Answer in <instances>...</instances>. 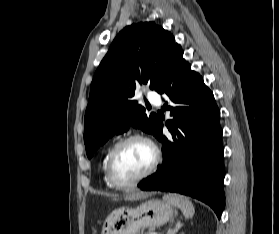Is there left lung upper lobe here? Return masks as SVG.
Listing matches in <instances>:
<instances>
[{"instance_id": "1", "label": "left lung upper lobe", "mask_w": 279, "mask_h": 234, "mask_svg": "<svg viewBox=\"0 0 279 234\" xmlns=\"http://www.w3.org/2000/svg\"><path fill=\"white\" fill-rule=\"evenodd\" d=\"M181 46L154 22L125 27L114 39L97 68L85 112L84 143L88 158L110 137L141 128L155 136L159 119L147 116L131 98L136 87L156 90ZM164 73V74H163Z\"/></svg>"}]
</instances>
